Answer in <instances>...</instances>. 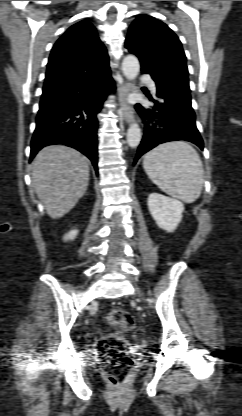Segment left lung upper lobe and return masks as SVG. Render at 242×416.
Listing matches in <instances>:
<instances>
[{
  "instance_id": "obj_1",
  "label": "left lung upper lobe",
  "mask_w": 242,
  "mask_h": 416,
  "mask_svg": "<svg viewBox=\"0 0 242 416\" xmlns=\"http://www.w3.org/2000/svg\"><path fill=\"white\" fill-rule=\"evenodd\" d=\"M125 47L162 88L191 98L186 56L178 37L160 20L142 14L129 27Z\"/></svg>"
}]
</instances>
